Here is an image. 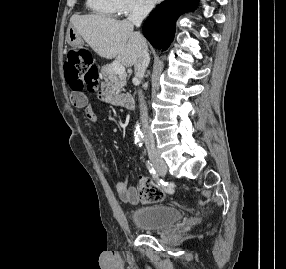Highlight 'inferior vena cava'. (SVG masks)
Wrapping results in <instances>:
<instances>
[{
  "mask_svg": "<svg viewBox=\"0 0 286 269\" xmlns=\"http://www.w3.org/2000/svg\"><path fill=\"white\" fill-rule=\"evenodd\" d=\"M153 8L151 3H144L143 1H139L136 3L132 11L127 18V21L140 27L142 21L146 18L148 13ZM150 62V57L147 51V47L145 44H142L140 47V57L137 63L134 65L135 77L142 79L145 73V70ZM139 101H140V111H141V121H142V130L144 134L145 146L148 152V157L151 161H154L159 158V154L155 147V139L148 125V114L147 107L145 105L144 96L142 91H138Z\"/></svg>",
  "mask_w": 286,
  "mask_h": 269,
  "instance_id": "1",
  "label": "inferior vena cava"
}]
</instances>
